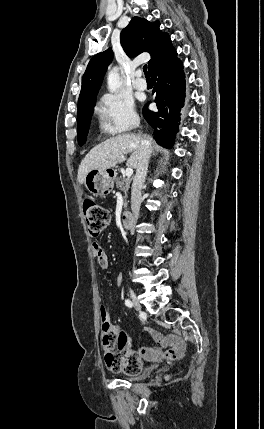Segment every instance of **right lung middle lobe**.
I'll return each mask as SVG.
<instances>
[{
	"label": "right lung middle lobe",
	"instance_id": "right-lung-middle-lobe-1",
	"mask_svg": "<svg viewBox=\"0 0 264 429\" xmlns=\"http://www.w3.org/2000/svg\"><path fill=\"white\" fill-rule=\"evenodd\" d=\"M96 101L78 106L77 113V138L78 143L82 146L86 142L90 120L94 111Z\"/></svg>",
	"mask_w": 264,
	"mask_h": 429
}]
</instances>
